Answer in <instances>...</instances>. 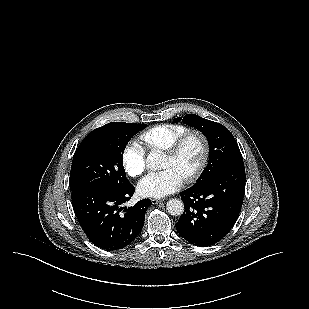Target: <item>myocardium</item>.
Segmentation results:
<instances>
[{
	"instance_id": "1",
	"label": "myocardium",
	"mask_w": 309,
	"mask_h": 309,
	"mask_svg": "<svg viewBox=\"0 0 309 309\" xmlns=\"http://www.w3.org/2000/svg\"><path fill=\"white\" fill-rule=\"evenodd\" d=\"M191 137H197L202 143L203 148V154L201 161L197 168L183 178L184 182L191 183L195 180H197L200 175L203 173L205 168L207 167V164L209 162L210 158V143L207 138V136L200 130H188L185 133H183L181 136H179L164 152L169 157H176L181 149L183 148L184 144L187 142V140Z\"/></svg>"
}]
</instances>
